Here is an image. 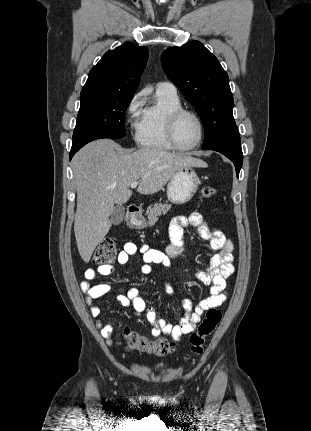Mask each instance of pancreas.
Instances as JSON below:
<instances>
[{
    "instance_id": "pancreas-1",
    "label": "pancreas",
    "mask_w": 311,
    "mask_h": 431,
    "mask_svg": "<svg viewBox=\"0 0 311 431\" xmlns=\"http://www.w3.org/2000/svg\"><path fill=\"white\" fill-rule=\"evenodd\" d=\"M172 204H153V206H148L145 216L148 217V225H155L159 217L163 214H167L171 210Z\"/></svg>"
}]
</instances>
